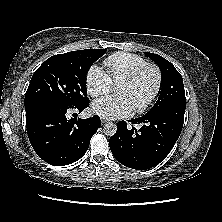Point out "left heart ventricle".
Listing matches in <instances>:
<instances>
[{
	"mask_svg": "<svg viewBox=\"0 0 222 222\" xmlns=\"http://www.w3.org/2000/svg\"><path fill=\"white\" fill-rule=\"evenodd\" d=\"M156 84L154 71H145L134 83L118 85L117 93L124 95L132 108L142 105L152 94Z\"/></svg>",
	"mask_w": 222,
	"mask_h": 222,
	"instance_id": "b2bd125f",
	"label": "left heart ventricle"
}]
</instances>
